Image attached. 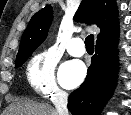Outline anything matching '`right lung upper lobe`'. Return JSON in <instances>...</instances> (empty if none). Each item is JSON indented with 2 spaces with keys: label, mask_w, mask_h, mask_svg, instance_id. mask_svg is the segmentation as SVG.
Returning a JSON list of instances; mask_svg holds the SVG:
<instances>
[{
  "label": "right lung upper lobe",
  "mask_w": 131,
  "mask_h": 115,
  "mask_svg": "<svg viewBox=\"0 0 131 115\" xmlns=\"http://www.w3.org/2000/svg\"><path fill=\"white\" fill-rule=\"evenodd\" d=\"M53 20L51 6H45L31 18L25 29L17 56L36 49L46 38ZM74 20L86 24H96L101 32L96 43L118 36V9L115 0H83L75 13Z\"/></svg>",
  "instance_id": "right-lung-upper-lobe-1"
}]
</instances>
